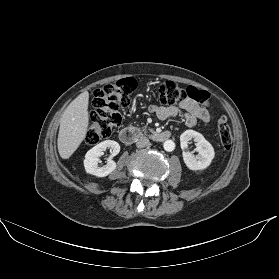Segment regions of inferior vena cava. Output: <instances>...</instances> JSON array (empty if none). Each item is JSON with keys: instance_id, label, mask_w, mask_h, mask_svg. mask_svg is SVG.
I'll list each match as a JSON object with an SVG mask.
<instances>
[{"instance_id": "1", "label": "inferior vena cava", "mask_w": 279, "mask_h": 279, "mask_svg": "<svg viewBox=\"0 0 279 279\" xmlns=\"http://www.w3.org/2000/svg\"><path fill=\"white\" fill-rule=\"evenodd\" d=\"M148 144H149V139L147 137H140L136 142V146L138 148L146 147Z\"/></svg>"}]
</instances>
